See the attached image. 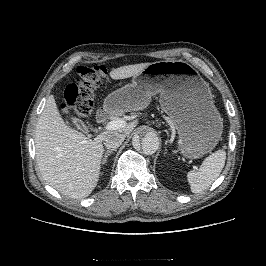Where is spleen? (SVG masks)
Returning <instances> with one entry per match:
<instances>
[{"mask_svg": "<svg viewBox=\"0 0 266 266\" xmlns=\"http://www.w3.org/2000/svg\"><path fill=\"white\" fill-rule=\"evenodd\" d=\"M226 160V152L221 149L209 155L200 168L187 173V180L192 193H201L220 175Z\"/></svg>", "mask_w": 266, "mask_h": 266, "instance_id": "obj_1", "label": "spleen"}]
</instances>
